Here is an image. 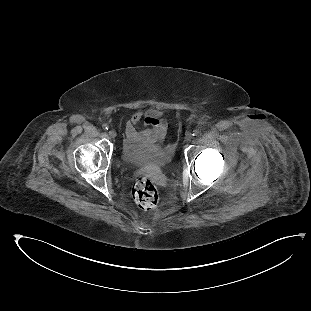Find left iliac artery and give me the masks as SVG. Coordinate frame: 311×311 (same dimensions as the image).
Returning <instances> with one entry per match:
<instances>
[{
    "instance_id": "left-iliac-artery-1",
    "label": "left iliac artery",
    "mask_w": 311,
    "mask_h": 311,
    "mask_svg": "<svg viewBox=\"0 0 311 311\" xmlns=\"http://www.w3.org/2000/svg\"><path fill=\"white\" fill-rule=\"evenodd\" d=\"M198 134H199V130L196 129L193 131V136H197Z\"/></svg>"
}]
</instances>
